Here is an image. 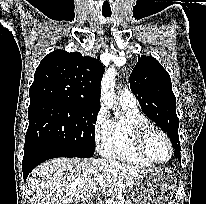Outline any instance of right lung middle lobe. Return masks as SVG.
<instances>
[{"instance_id":"1","label":"right lung middle lobe","mask_w":206,"mask_h":204,"mask_svg":"<svg viewBox=\"0 0 206 204\" xmlns=\"http://www.w3.org/2000/svg\"><path fill=\"white\" fill-rule=\"evenodd\" d=\"M99 109L55 100L31 102L24 150L42 145L61 149L68 157H92Z\"/></svg>"}]
</instances>
